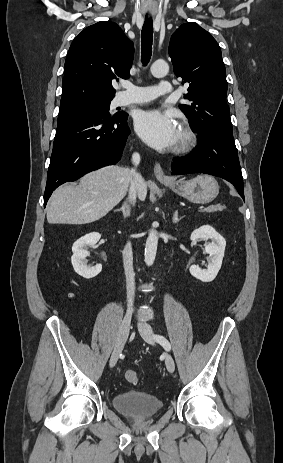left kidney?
Returning <instances> with one entry per match:
<instances>
[{
	"label": "left kidney",
	"mask_w": 283,
	"mask_h": 463,
	"mask_svg": "<svg viewBox=\"0 0 283 463\" xmlns=\"http://www.w3.org/2000/svg\"><path fill=\"white\" fill-rule=\"evenodd\" d=\"M190 239L197 240L202 239L207 241L211 239L212 242L205 245V252L209 254V263L207 269H201L197 265H192L189 271L193 277L201 280L202 282L213 281L222 265L224 257V251L226 247L225 239L210 225H203L200 228L194 230L190 236Z\"/></svg>",
	"instance_id": "obj_1"
}]
</instances>
